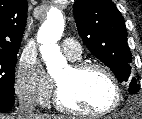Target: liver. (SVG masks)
I'll use <instances>...</instances> for the list:
<instances>
[{
	"mask_svg": "<svg viewBox=\"0 0 142 119\" xmlns=\"http://www.w3.org/2000/svg\"><path fill=\"white\" fill-rule=\"evenodd\" d=\"M0 119H19V118H14V116H5L0 114ZM33 119H65V117L53 116V115H47V114H38V115H35Z\"/></svg>",
	"mask_w": 142,
	"mask_h": 119,
	"instance_id": "liver-1",
	"label": "liver"
}]
</instances>
